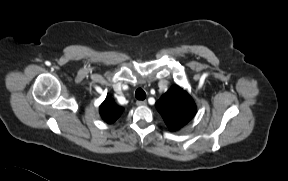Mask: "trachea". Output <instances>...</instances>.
I'll return each instance as SVG.
<instances>
[{
  "mask_svg": "<svg viewBox=\"0 0 288 181\" xmlns=\"http://www.w3.org/2000/svg\"><path fill=\"white\" fill-rule=\"evenodd\" d=\"M135 96L138 100H144L146 98V93L142 88H138L135 92Z\"/></svg>",
  "mask_w": 288,
  "mask_h": 181,
  "instance_id": "trachea-1",
  "label": "trachea"
}]
</instances>
